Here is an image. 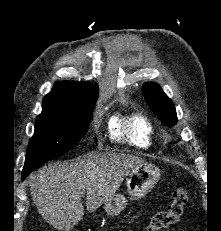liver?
I'll return each instance as SVG.
<instances>
[{"instance_id": "liver-1", "label": "liver", "mask_w": 221, "mask_h": 231, "mask_svg": "<svg viewBox=\"0 0 221 231\" xmlns=\"http://www.w3.org/2000/svg\"><path fill=\"white\" fill-rule=\"evenodd\" d=\"M144 160L127 154H87L73 162H56L30 175L28 183L38 212L58 230L69 231L83 217L81 202L94 212L119 189L124 178Z\"/></svg>"}]
</instances>
